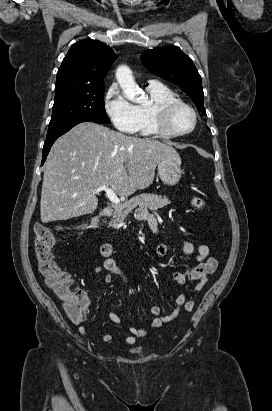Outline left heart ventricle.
<instances>
[{
	"label": "left heart ventricle",
	"instance_id": "b2bd125f",
	"mask_svg": "<svg viewBox=\"0 0 272 411\" xmlns=\"http://www.w3.org/2000/svg\"><path fill=\"white\" fill-rule=\"evenodd\" d=\"M192 115L185 108L176 109L170 118V126L175 131H184L192 124Z\"/></svg>",
	"mask_w": 272,
	"mask_h": 411
}]
</instances>
